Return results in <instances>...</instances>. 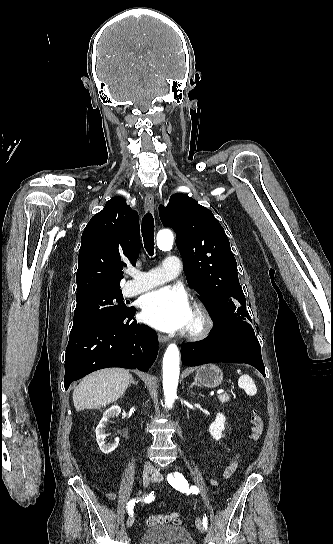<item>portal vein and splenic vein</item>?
<instances>
[{"instance_id": "1", "label": "portal vein and splenic vein", "mask_w": 333, "mask_h": 544, "mask_svg": "<svg viewBox=\"0 0 333 544\" xmlns=\"http://www.w3.org/2000/svg\"><path fill=\"white\" fill-rule=\"evenodd\" d=\"M223 392H224V391H223L222 389H220V390L217 391L218 394H221V393H223Z\"/></svg>"}]
</instances>
